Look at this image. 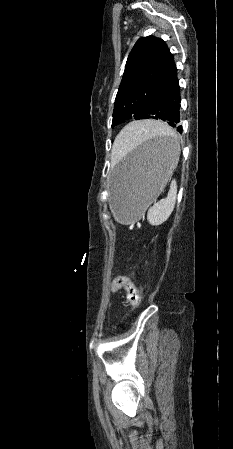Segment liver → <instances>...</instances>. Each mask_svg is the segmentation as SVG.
<instances>
[{
  "mask_svg": "<svg viewBox=\"0 0 233 449\" xmlns=\"http://www.w3.org/2000/svg\"><path fill=\"white\" fill-rule=\"evenodd\" d=\"M116 142H117V139H116ZM115 148H116V143H115Z\"/></svg>",
  "mask_w": 233,
  "mask_h": 449,
  "instance_id": "6515ba94",
  "label": "liver"
}]
</instances>
